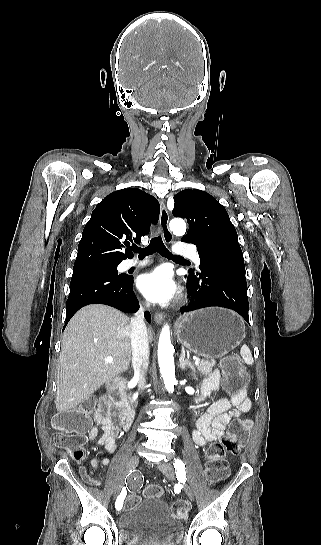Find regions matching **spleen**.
I'll return each mask as SVG.
<instances>
[{"instance_id":"1","label":"spleen","mask_w":321,"mask_h":545,"mask_svg":"<svg viewBox=\"0 0 321 545\" xmlns=\"http://www.w3.org/2000/svg\"><path fill=\"white\" fill-rule=\"evenodd\" d=\"M240 355L243 357L246 365H253V357L250 353L249 347L247 345H243L240 349Z\"/></svg>"}]
</instances>
